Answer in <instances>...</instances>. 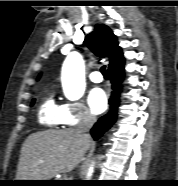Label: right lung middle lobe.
I'll return each mask as SVG.
<instances>
[{"label": "right lung middle lobe", "mask_w": 178, "mask_h": 186, "mask_svg": "<svg viewBox=\"0 0 178 186\" xmlns=\"http://www.w3.org/2000/svg\"><path fill=\"white\" fill-rule=\"evenodd\" d=\"M34 102H35V99L32 100V105L34 104Z\"/></svg>", "instance_id": "obj_1"}]
</instances>
